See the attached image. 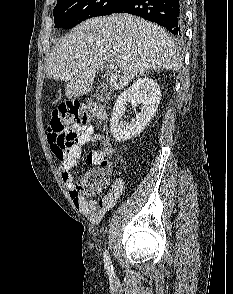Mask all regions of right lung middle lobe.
<instances>
[{"label": "right lung middle lobe", "instance_id": "1", "mask_svg": "<svg viewBox=\"0 0 233 294\" xmlns=\"http://www.w3.org/2000/svg\"><path fill=\"white\" fill-rule=\"evenodd\" d=\"M123 0H57L54 8L55 28L71 29L80 22L110 15Z\"/></svg>", "mask_w": 233, "mask_h": 294}]
</instances>
